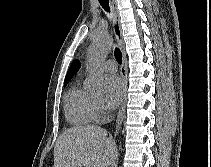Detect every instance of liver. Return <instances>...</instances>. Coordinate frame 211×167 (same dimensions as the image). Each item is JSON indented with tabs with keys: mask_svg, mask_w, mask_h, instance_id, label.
<instances>
[{
	"mask_svg": "<svg viewBox=\"0 0 211 167\" xmlns=\"http://www.w3.org/2000/svg\"><path fill=\"white\" fill-rule=\"evenodd\" d=\"M115 155V143L105 129L73 127L57 139L53 167H108Z\"/></svg>",
	"mask_w": 211,
	"mask_h": 167,
	"instance_id": "liver-1",
	"label": "liver"
}]
</instances>
